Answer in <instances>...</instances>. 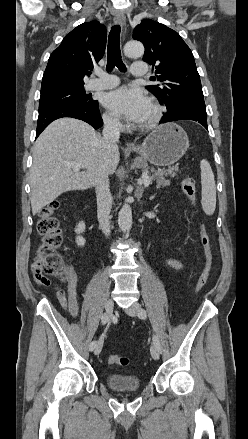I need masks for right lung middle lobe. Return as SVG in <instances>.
I'll return each instance as SVG.
<instances>
[{
	"label": "right lung middle lobe",
	"instance_id": "obj_1",
	"mask_svg": "<svg viewBox=\"0 0 248 439\" xmlns=\"http://www.w3.org/2000/svg\"><path fill=\"white\" fill-rule=\"evenodd\" d=\"M97 102L91 98L90 94L85 93L84 86H82L40 96L39 113L66 105L92 106Z\"/></svg>",
	"mask_w": 248,
	"mask_h": 439
}]
</instances>
